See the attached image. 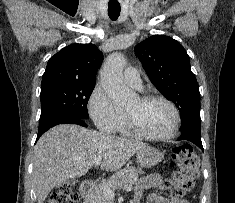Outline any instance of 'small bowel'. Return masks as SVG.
<instances>
[{
    "label": "small bowel",
    "instance_id": "obj_1",
    "mask_svg": "<svg viewBox=\"0 0 235 203\" xmlns=\"http://www.w3.org/2000/svg\"><path fill=\"white\" fill-rule=\"evenodd\" d=\"M163 186V179L157 174L142 177L136 185L134 199L140 203L142 196L146 191L162 189ZM147 203H188V201L182 197H174L172 195L164 196L155 192H150L147 197Z\"/></svg>",
    "mask_w": 235,
    "mask_h": 203
}]
</instances>
